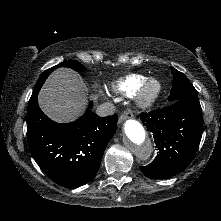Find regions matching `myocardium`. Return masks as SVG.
<instances>
[{"mask_svg": "<svg viewBox=\"0 0 221 221\" xmlns=\"http://www.w3.org/2000/svg\"><path fill=\"white\" fill-rule=\"evenodd\" d=\"M162 84L156 78H148L136 92V102L141 109L151 108L160 98Z\"/></svg>", "mask_w": 221, "mask_h": 221, "instance_id": "1", "label": "myocardium"}]
</instances>
